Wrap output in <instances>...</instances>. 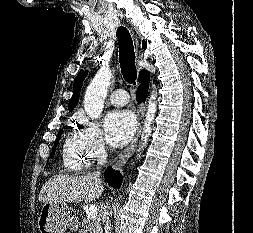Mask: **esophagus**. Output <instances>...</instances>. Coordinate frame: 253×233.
<instances>
[{"instance_id":"1","label":"esophagus","mask_w":253,"mask_h":233,"mask_svg":"<svg viewBox=\"0 0 253 233\" xmlns=\"http://www.w3.org/2000/svg\"><path fill=\"white\" fill-rule=\"evenodd\" d=\"M141 57H142L141 54H139L138 55V61L141 59ZM137 116H138V129H137V132L135 134L134 139L130 143V145L127 148H125L118 155V157L116 158V161H115V168L116 169L122 168L126 164V162L128 161V159L132 155V153L135 150V147L138 143V140H139V137H140V134H141V130H142L144 116H145V108H144L143 105L138 106Z\"/></svg>"}]
</instances>
